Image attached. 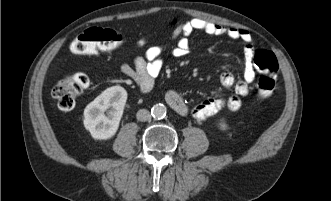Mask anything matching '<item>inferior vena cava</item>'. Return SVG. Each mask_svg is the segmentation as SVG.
<instances>
[{
    "label": "inferior vena cava",
    "mask_w": 331,
    "mask_h": 201,
    "mask_svg": "<svg viewBox=\"0 0 331 201\" xmlns=\"http://www.w3.org/2000/svg\"><path fill=\"white\" fill-rule=\"evenodd\" d=\"M137 120L141 122H145L151 119V114L146 109H140L136 114Z\"/></svg>",
    "instance_id": "602c4592"
}]
</instances>
